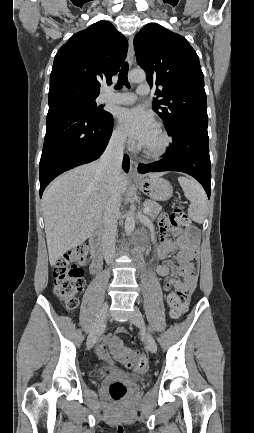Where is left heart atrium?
Segmentation results:
<instances>
[{
    "label": "left heart atrium",
    "instance_id": "left-heart-atrium-1",
    "mask_svg": "<svg viewBox=\"0 0 254 433\" xmlns=\"http://www.w3.org/2000/svg\"><path fill=\"white\" fill-rule=\"evenodd\" d=\"M118 120L126 135L143 144L155 128L152 115L141 108L121 109Z\"/></svg>",
    "mask_w": 254,
    "mask_h": 433
}]
</instances>
